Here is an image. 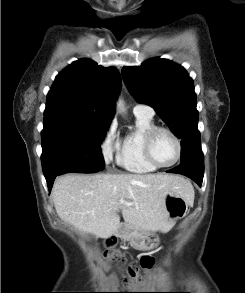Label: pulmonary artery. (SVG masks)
I'll return each mask as SVG.
<instances>
[{"label": "pulmonary artery", "instance_id": "pulmonary-artery-1", "mask_svg": "<svg viewBox=\"0 0 245 293\" xmlns=\"http://www.w3.org/2000/svg\"><path fill=\"white\" fill-rule=\"evenodd\" d=\"M134 114H147V115H153L154 110L151 106L146 104H137L133 108Z\"/></svg>", "mask_w": 245, "mask_h": 293}]
</instances>
